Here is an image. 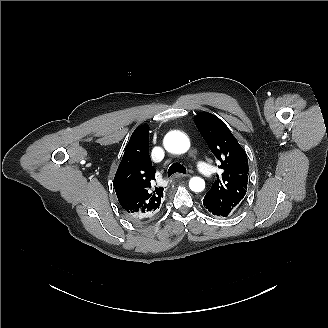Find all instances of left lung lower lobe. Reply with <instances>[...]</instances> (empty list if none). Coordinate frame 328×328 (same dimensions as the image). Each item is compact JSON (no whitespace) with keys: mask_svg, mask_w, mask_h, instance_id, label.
<instances>
[{"mask_svg":"<svg viewBox=\"0 0 328 328\" xmlns=\"http://www.w3.org/2000/svg\"><path fill=\"white\" fill-rule=\"evenodd\" d=\"M209 212H211L210 210H208ZM212 214H214V215H218V214H216V213H214V212H211Z\"/></svg>","mask_w":328,"mask_h":328,"instance_id":"1","label":"left lung lower lobe"}]
</instances>
